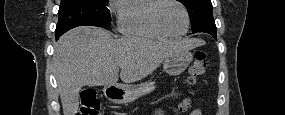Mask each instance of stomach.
<instances>
[{"label":"stomach","mask_w":285,"mask_h":115,"mask_svg":"<svg viewBox=\"0 0 285 115\" xmlns=\"http://www.w3.org/2000/svg\"><path fill=\"white\" fill-rule=\"evenodd\" d=\"M191 61L192 54L190 52L176 53L164 60L163 70L170 76L180 75L186 70ZM155 88V82L150 81L140 85H106L103 92L105 97L112 103L128 104L152 92Z\"/></svg>","instance_id":"1"}]
</instances>
